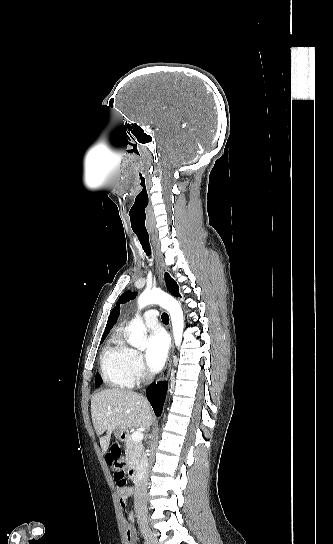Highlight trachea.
<instances>
[{
    "instance_id": "1",
    "label": "trachea",
    "mask_w": 333,
    "mask_h": 544,
    "mask_svg": "<svg viewBox=\"0 0 333 544\" xmlns=\"http://www.w3.org/2000/svg\"><path fill=\"white\" fill-rule=\"evenodd\" d=\"M135 234L137 235L138 240L140 241L144 252L146 253L147 256L150 257L151 256V247H150V243H149L148 234H144V233H135ZM161 318H162L163 323H165V324L169 323V316H168L167 313H163Z\"/></svg>"
}]
</instances>
